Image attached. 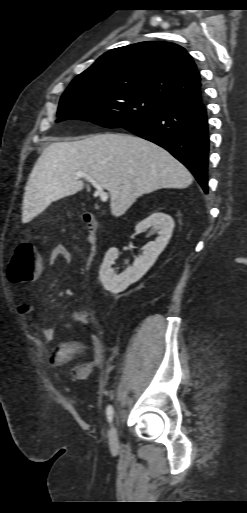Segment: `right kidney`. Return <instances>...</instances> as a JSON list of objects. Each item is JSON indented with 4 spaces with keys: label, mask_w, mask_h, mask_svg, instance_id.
Masks as SVG:
<instances>
[{
    "label": "right kidney",
    "mask_w": 247,
    "mask_h": 513,
    "mask_svg": "<svg viewBox=\"0 0 247 513\" xmlns=\"http://www.w3.org/2000/svg\"><path fill=\"white\" fill-rule=\"evenodd\" d=\"M148 228H152L151 232H156L158 236L154 241H150L143 246L142 255L137 257L132 267L127 268L123 273L116 275L111 268L118 258V249L111 248L108 250L99 272L100 280L106 290L119 293L131 283L138 281L148 271L168 244L172 236L174 221L170 215L155 212L138 223L135 231L141 232Z\"/></svg>",
    "instance_id": "obj_1"
}]
</instances>
